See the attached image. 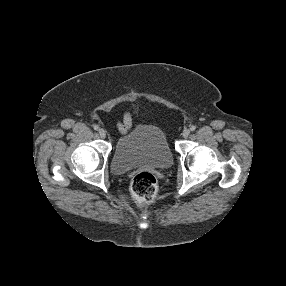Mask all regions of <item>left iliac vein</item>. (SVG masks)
Wrapping results in <instances>:
<instances>
[{
	"label": "left iliac vein",
	"mask_w": 286,
	"mask_h": 286,
	"mask_svg": "<svg viewBox=\"0 0 286 286\" xmlns=\"http://www.w3.org/2000/svg\"><path fill=\"white\" fill-rule=\"evenodd\" d=\"M189 134H190V131H189L188 129H185V130H183V132H182V137H183V138H187V137L189 136Z\"/></svg>",
	"instance_id": "1"
}]
</instances>
